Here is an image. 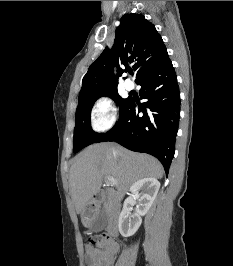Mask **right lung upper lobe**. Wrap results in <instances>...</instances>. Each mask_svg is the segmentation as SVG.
<instances>
[{"mask_svg": "<svg viewBox=\"0 0 233 266\" xmlns=\"http://www.w3.org/2000/svg\"><path fill=\"white\" fill-rule=\"evenodd\" d=\"M166 57H168L166 47L155 26L140 14H125L115 31L112 49L106 47L83 77L78 100L116 89L117 78L113 73L114 66L117 67L118 75H121L124 70L120 66L127 69L131 65L136 72L135 82H137Z\"/></svg>", "mask_w": 233, "mask_h": 266, "instance_id": "obj_1", "label": "right lung upper lobe"}]
</instances>
